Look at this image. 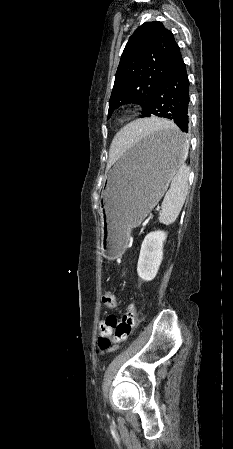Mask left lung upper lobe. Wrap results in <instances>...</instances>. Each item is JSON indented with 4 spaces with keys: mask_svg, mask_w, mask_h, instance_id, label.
Masks as SVG:
<instances>
[{
    "mask_svg": "<svg viewBox=\"0 0 233 449\" xmlns=\"http://www.w3.org/2000/svg\"><path fill=\"white\" fill-rule=\"evenodd\" d=\"M182 58L172 32L159 21L145 22L127 42L115 75L108 117L119 106L138 103L143 117L164 76Z\"/></svg>",
    "mask_w": 233,
    "mask_h": 449,
    "instance_id": "left-lung-upper-lobe-1",
    "label": "left lung upper lobe"
}]
</instances>
